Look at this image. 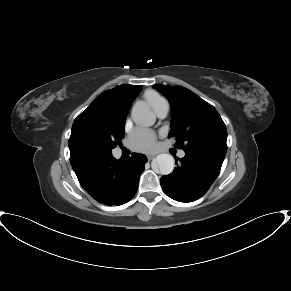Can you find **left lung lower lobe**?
Masks as SVG:
<instances>
[{
    "label": "left lung lower lobe",
    "mask_w": 291,
    "mask_h": 291,
    "mask_svg": "<svg viewBox=\"0 0 291 291\" xmlns=\"http://www.w3.org/2000/svg\"><path fill=\"white\" fill-rule=\"evenodd\" d=\"M224 158V154L186 150L185 156L179 159L181 164L171 174L161 177L164 193L179 202L199 199L217 178Z\"/></svg>",
    "instance_id": "left-lung-lower-lobe-1"
}]
</instances>
